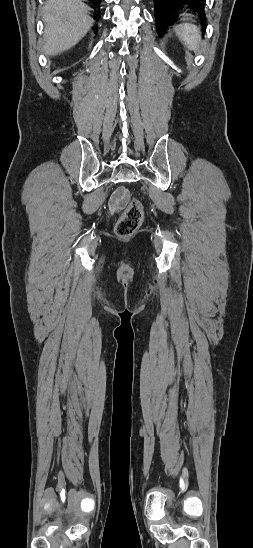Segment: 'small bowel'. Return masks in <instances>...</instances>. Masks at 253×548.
Returning <instances> with one entry per match:
<instances>
[{"label": "small bowel", "instance_id": "small-bowel-1", "mask_svg": "<svg viewBox=\"0 0 253 548\" xmlns=\"http://www.w3.org/2000/svg\"><path fill=\"white\" fill-rule=\"evenodd\" d=\"M128 198L129 193L125 187L120 186L116 188L109 200V209L111 213H117L121 211L126 205Z\"/></svg>", "mask_w": 253, "mask_h": 548}]
</instances>
